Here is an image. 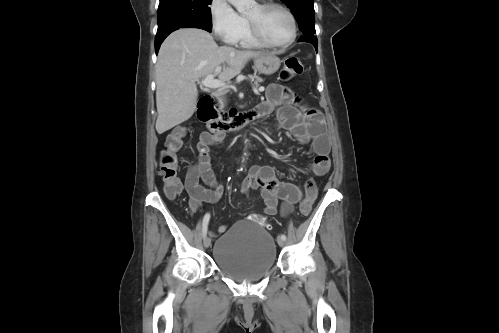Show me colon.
Listing matches in <instances>:
<instances>
[{
	"mask_svg": "<svg viewBox=\"0 0 499 333\" xmlns=\"http://www.w3.org/2000/svg\"><path fill=\"white\" fill-rule=\"evenodd\" d=\"M305 71L304 64L297 58L286 59L281 77L288 80L294 76L300 75ZM185 134L184 128L178 127L167 137L165 149L161 153L159 174L164 183V191L169 198L176 197L182 190V183L177 177V153L182 147V140ZM318 194L316 182L308 179L305 183V197L300 203V212L307 216ZM248 219L262 226H267L263 216L258 214L249 215Z\"/></svg>",
	"mask_w": 499,
	"mask_h": 333,
	"instance_id": "1",
	"label": "colon"
}]
</instances>
